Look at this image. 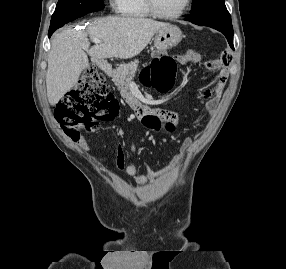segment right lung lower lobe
Listing matches in <instances>:
<instances>
[{"label":"right lung lower lobe","mask_w":286,"mask_h":269,"mask_svg":"<svg viewBox=\"0 0 286 269\" xmlns=\"http://www.w3.org/2000/svg\"><path fill=\"white\" fill-rule=\"evenodd\" d=\"M55 30H56V29H51V30H49L48 36L50 37V36L54 33Z\"/></svg>","instance_id":"obj_1"}]
</instances>
